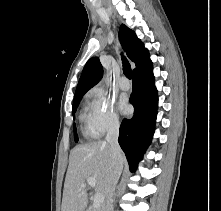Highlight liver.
<instances>
[{"label":"liver","mask_w":221,"mask_h":211,"mask_svg":"<svg viewBox=\"0 0 221 211\" xmlns=\"http://www.w3.org/2000/svg\"><path fill=\"white\" fill-rule=\"evenodd\" d=\"M125 157L122 156L124 163ZM113 157L106 141H95L72 149L65 178L61 211H85L88 205L87 179L96 180L95 191L106 198L113 172ZM84 184V188H81Z\"/></svg>","instance_id":"liver-1"}]
</instances>
